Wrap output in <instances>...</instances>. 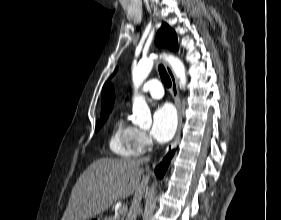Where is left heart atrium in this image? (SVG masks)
<instances>
[{"label": "left heart atrium", "mask_w": 281, "mask_h": 220, "mask_svg": "<svg viewBox=\"0 0 281 220\" xmlns=\"http://www.w3.org/2000/svg\"><path fill=\"white\" fill-rule=\"evenodd\" d=\"M177 129V116L170 105L158 107L153 115L151 136L159 143L169 141Z\"/></svg>", "instance_id": "1"}]
</instances>
